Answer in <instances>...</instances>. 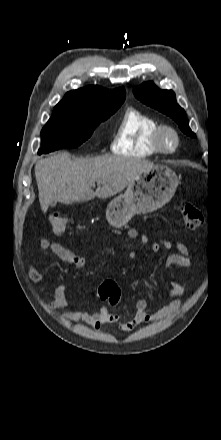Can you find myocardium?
I'll return each instance as SVG.
<instances>
[{"label": "myocardium", "instance_id": "f54148a6", "mask_svg": "<svg viewBox=\"0 0 221 440\" xmlns=\"http://www.w3.org/2000/svg\"><path fill=\"white\" fill-rule=\"evenodd\" d=\"M172 138V142H167V137ZM154 146L158 152L163 154H173L180 145V136L178 131L171 125L160 124L154 131Z\"/></svg>", "mask_w": 221, "mask_h": 440}]
</instances>
